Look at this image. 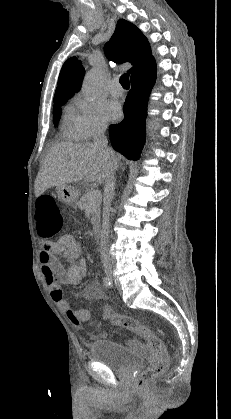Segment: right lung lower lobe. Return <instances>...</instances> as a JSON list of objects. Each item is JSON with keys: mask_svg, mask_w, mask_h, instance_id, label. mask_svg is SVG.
I'll return each mask as SVG.
<instances>
[{"mask_svg": "<svg viewBox=\"0 0 231 419\" xmlns=\"http://www.w3.org/2000/svg\"><path fill=\"white\" fill-rule=\"evenodd\" d=\"M155 79V60L131 75L132 87L124 104V119L109 127L112 146L131 160L139 159L145 142L147 103Z\"/></svg>", "mask_w": 231, "mask_h": 419, "instance_id": "98d812e1", "label": "right lung lower lobe"}]
</instances>
